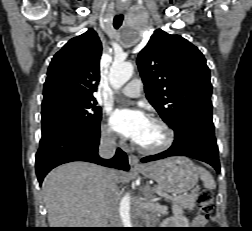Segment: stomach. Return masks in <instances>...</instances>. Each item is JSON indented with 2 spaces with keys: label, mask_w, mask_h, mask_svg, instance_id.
Listing matches in <instances>:
<instances>
[{
  "label": "stomach",
  "mask_w": 252,
  "mask_h": 231,
  "mask_svg": "<svg viewBox=\"0 0 252 231\" xmlns=\"http://www.w3.org/2000/svg\"><path fill=\"white\" fill-rule=\"evenodd\" d=\"M139 171L157 182L159 192L186 193L198 181L197 169L186 157H171L149 163L140 167Z\"/></svg>",
  "instance_id": "1"
}]
</instances>
